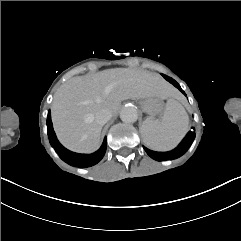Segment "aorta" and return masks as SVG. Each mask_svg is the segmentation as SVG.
I'll list each match as a JSON object with an SVG mask.
<instances>
[{"label":"aorta","mask_w":241,"mask_h":241,"mask_svg":"<svg viewBox=\"0 0 241 241\" xmlns=\"http://www.w3.org/2000/svg\"><path fill=\"white\" fill-rule=\"evenodd\" d=\"M120 119L124 123H133L138 119V112L133 106H125L120 111Z\"/></svg>","instance_id":"1"}]
</instances>
